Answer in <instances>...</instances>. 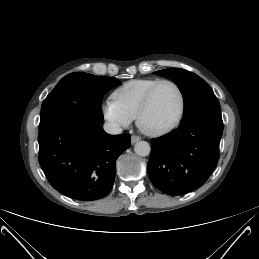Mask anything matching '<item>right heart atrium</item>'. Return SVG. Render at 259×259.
Here are the masks:
<instances>
[{
  "label": "right heart atrium",
  "instance_id": "d8ad5b80",
  "mask_svg": "<svg viewBox=\"0 0 259 259\" xmlns=\"http://www.w3.org/2000/svg\"><path fill=\"white\" fill-rule=\"evenodd\" d=\"M105 119L114 127H126L132 119L127 116L114 99H107L102 107Z\"/></svg>",
  "mask_w": 259,
  "mask_h": 259
}]
</instances>
